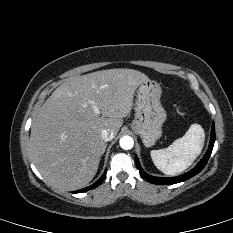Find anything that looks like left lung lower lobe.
I'll return each mask as SVG.
<instances>
[{
  "label": "left lung lower lobe",
  "instance_id": "left-lung-lower-lobe-1",
  "mask_svg": "<svg viewBox=\"0 0 233 233\" xmlns=\"http://www.w3.org/2000/svg\"><path fill=\"white\" fill-rule=\"evenodd\" d=\"M214 142H215V126H214V122H213L212 130H211L210 145H209L208 151L206 152V154L204 155L202 160L199 162V164L194 169H192L191 171H189L186 174H183V175H180L177 177L160 178V177L150 176L142 170L137 157L135 158L136 164H137V167H138L139 172L142 175V177L144 179H146L147 181H149L150 183L159 184V185H166V184H175V183L183 182V181L195 176L204 168V166L206 165V163L211 155V152H212V149L214 146Z\"/></svg>",
  "mask_w": 233,
  "mask_h": 233
}]
</instances>
